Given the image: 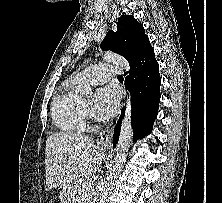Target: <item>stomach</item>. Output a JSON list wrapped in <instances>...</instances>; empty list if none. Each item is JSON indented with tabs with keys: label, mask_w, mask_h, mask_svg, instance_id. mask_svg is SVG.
I'll return each instance as SVG.
<instances>
[{
	"label": "stomach",
	"mask_w": 222,
	"mask_h": 203,
	"mask_svg": "<svg viewBox=\"0 0 222 203\" xmlns=\"http://www.w3.org/2000/svg\"><path fill=\"white\" fill-rule=\"evenodd\" d=\"M63 198H65L64 203H69V200H70V199H69L68 197H65V196H64Z\"/></svg>",
	"instance_id": "obj_1"
}]
</instances>
